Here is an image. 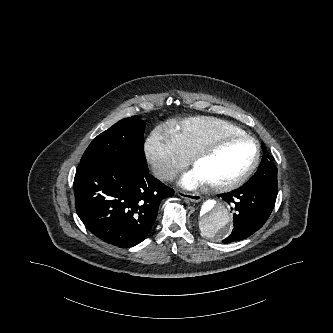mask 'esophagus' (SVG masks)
<instances>
[{"instance_id":"obj_1","label":"esophagus","mask_w":333,"mask_h":333,"mask_svg":"<svg viewBox=\"0 0 333 333\" xmlns=\"http://www.w3.org/2000/svg\"><path fill=\"white\" fill-rule=\"evenodd\" d=\"M178 196L184 199H188L192 202H200L202 200V197L199 194L196 193H188L184 191H177Z\"/></svg>"}]
</instances>
